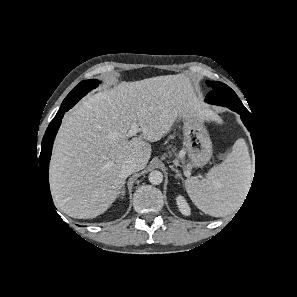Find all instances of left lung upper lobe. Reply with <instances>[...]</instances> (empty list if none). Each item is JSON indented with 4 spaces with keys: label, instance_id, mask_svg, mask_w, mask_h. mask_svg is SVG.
Here are the masks:
<instances>
[{
    "label": "left lung upper lobe",
    "instance_id": "obj_1",
    "mask_svg": "<svg viewBox=\"0 0 297 297\" xmlns=\"http://www.w3.org/2000/svg\"><path fill=\"white\" fill-rule=\"evenodd\" d=\"M212 90L207 94L205 101L210 104L227 106L233 111L249 113L244 107L236 93L226 84L217 81H207Z\"/></svg>",
    "mask_w": 297,
    "mask_h": 297
}]
</instances>
